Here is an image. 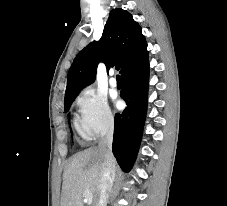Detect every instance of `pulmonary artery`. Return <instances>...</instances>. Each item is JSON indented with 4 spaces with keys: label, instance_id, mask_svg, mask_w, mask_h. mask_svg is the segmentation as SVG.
<instances>
[{
    "label": "pulmonary artery",
    "instance_id": "pulmonary-artery-1",
    "mask_svg": "<svg viewBox=\"0 0 227 206\" xmlns=\"http://www.w3.org/2000/svg\"><path fill=\"white\" fill-rule=\"evenodd\" d=\"M109 83L112 87H116L117 86V80L115 77L111 76L109 79Z\"/></svg>",
    "mask_w": 227,
    "mask_h": 206
}]
</instances>
